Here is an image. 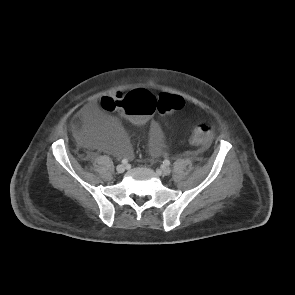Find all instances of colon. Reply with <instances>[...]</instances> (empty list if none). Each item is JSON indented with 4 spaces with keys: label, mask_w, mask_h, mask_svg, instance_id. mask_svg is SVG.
<instances>
[{
    "label": "colon",
    "mask_w": 295,
    "mask_h": 295,
    "mask_svg": "<svg viewBox=\"0 0 295 295\" xmlns=\"http://www.w3.org/2000/svg\"><path fill=\"white\" fill-rule=\"evenodd\" d=\"M100 107L107 111H119L123 120L135 129L146 128L156 111L171 113L180 110L184 100L176 95H154L146 90H135L127 95L117 94L115 97H104ZM213 136V127L207 122H199L194 127L191 141L198 146L207 145Z\"/></svg>",
    "instance_id": "1"
}]
</instances>
